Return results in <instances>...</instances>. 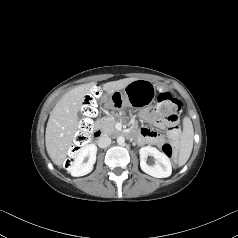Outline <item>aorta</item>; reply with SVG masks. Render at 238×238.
Masks as SVG:
<instances>
[{"label":"aorta","mask_w":238,"mask_h":238,"mask_svg":"<svg viewBox=\"0 0 238 238\" xmlns=\"http://www.w3.org/2000/svg\"><path fill=\"white\" fill-rule=\"evenodd\" d=\"M124 142H125V138H124V137L119 136V137L117 138V143H118L119 145L124 144Z\"/></svg>","instance_id":"1"}]
</instances>
